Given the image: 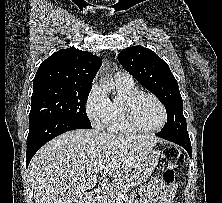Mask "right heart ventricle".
I'll list each match as a JSON object with an SVG mask.
<instances>
[{
    "label": "right heart ventricle",
    "mask_w": 222,
    "mask_h": 203,
    "mask_svg": "<svg viewBox=\"0 0 222 203\" xmlns=\"http://www.w3.org/2000/svg\"><path fill=\"white\" fill-rule=\"evenodd\" d=\"M118 87V94L111 101L110 118L107 124V129L113 133H134L124 116L123 102L125 98L138 92L134 84L126 85L116 82Z\"/></svg>",
    "instance_id": "1"
}]
</instances>
